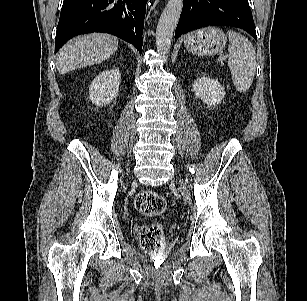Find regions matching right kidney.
I'll return each instance as SVG.
<instances>
[{
  "label": "right kidney",
  "instance_id": "1",
  "mask_svg": "<svg viewBox=\"0 0 307 301\" xmlns=\"http://www.w3.org/2000/svg\"><path fill=\"white\" fill-rule=\"evenodd\" d=\"M121 73L118 69L104 70L95 77L89 87V98L96 106L110 103L117 97Z\"/></svg>",
  "mask_w": 307,
  "mask_h": 301
}]
</instances>
